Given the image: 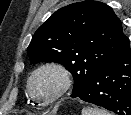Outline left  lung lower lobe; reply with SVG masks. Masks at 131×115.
<instances>
[{
  "instance_id": "left-lung-lower-lobe-1",
  "label": "left lung lower lobe",
  "mask_w": 131,
  "mask_h": 115,
  "mask_svg": "<svg viewBox=\"0 0 131 115\" xmlns=\"http://www.w3.org/2000/svg\"><path fill=\"white\" fill-rule=\"evenodd\" d=\"M118 115H131V49L103 67L77 96Z\"/></svg>"
}]
</instances>
